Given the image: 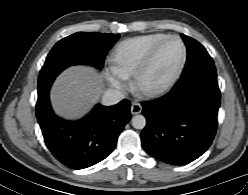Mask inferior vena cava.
<instances>
[{
  "instance_id": "obj_1",
  "label": "inferior vena cava",
  "mask_w": 248,
  "mask_h": 195,
  "mask_svg": "<svg viewBox=\"0 0 248 195\" xmlns=\"http://www.w3.org/2000/svg\"><path fill=\"white\" fill-rule=\"evenodd\" d=\"M125 96L123 92L117 90V89H107L104 92V95L102 97V103L103 105L110 106L117 104L120 102L122 99H124Z\"/></svg>"
}]
</instances>
